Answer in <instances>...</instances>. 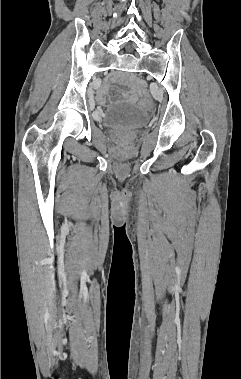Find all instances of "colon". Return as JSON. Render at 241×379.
Masks as SVG:
<instances>
[{"mask_svg": "<svg viewBox=\"0 0 241 379\" xmlns=\"http://www.w3.org/2000/svg\"><path fill=\"white\" fill-rule=\"evenodd\" d=\"M141 104L143 107H150V104H151V99H150V95L145 93V94H142L141 95Z\"/></svg>", "mask_w": 241, "mask_h": 379, "instance_id": "colon-1", "label": "colon"}]
</instances>
